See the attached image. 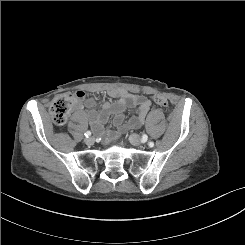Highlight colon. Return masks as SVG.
Masks as SVG:
<instances>
[{
	"mask_svg": "<svg viewBox=\"0 0 245 245\" xmlns=\"http://www.w3.org/2000/svg\"><path fill=\"white\" fill-rule=\"evenodd\" d=\"M86 96L85 92H76L74 94H62L56 97L50 106V114L57 125H63L71 111L76 105L84 99ZM154 102L165 110H169L170 104L166 97L163 95H155L153 97Z\"/></svg>",
	"mask_w": 245,
	"mask_h": 245,
	"instance_id": "obj_1",
	"label": "colon"
}]
</instances>
